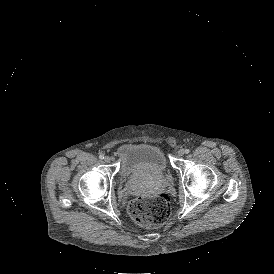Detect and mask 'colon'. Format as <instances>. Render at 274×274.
<instances>
[{
    "mask_svg": "<svg viewBox=\"0 0 274 274\" xmlns=\"http://www.w3.org/2000/svg\"><path fill=\"white\" fill-rule=\"evenodd\" d=\"M129 212L140 226L160 227L171 218V209L165 195L137 197L131 200Z\"/></svg>",
    "mask_w": 274,
    "mask_h": 274,
    "instance_id": "1",
    "label": "colon"
}]
</instances>
